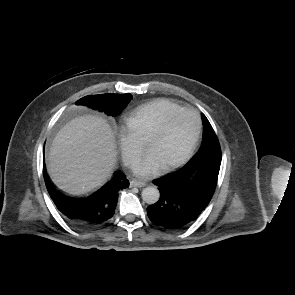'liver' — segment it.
<instances>
[{
    "instance_id": "liver-1",
    "label": "liver",
    "mask_w": 295,
    "mask_h": 295,
    "mask_svg": "<svg viewBox=\"0 0 295 295\" xmlns=\"http://www.w3.org/2000/svg\"><path fill=\"white\" fill-rule=\"evenodd\" d=\"M116 157L114 134L106 120L80 116L56 134L48 156V173L62 191L88 194L111 176Z\"/></svg>"
}]
</instances>
